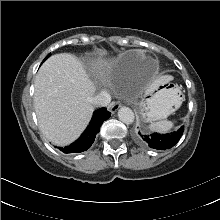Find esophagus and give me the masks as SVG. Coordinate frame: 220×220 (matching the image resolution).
<instances>
[{
    "instance_id": "esophagus-1",
    "label": "esophagus",
    "mask_w": 220,
    "mask_h": 220,
    "mask_svg": "<svg viewBox=\"0 0 220 220\" xmlns=\"http://www.w3.org/2000/svg\"><path fill=\"white\" fill-rule=\"evenodd\" d=\"M120 107H121V104L119 102H112L110 104L111 113H115Z\"/></svg>"
}]
</instances>
